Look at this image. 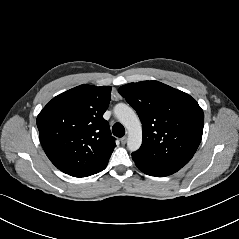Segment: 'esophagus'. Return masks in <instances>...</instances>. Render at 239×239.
Segmentation results:
<instances>
[{
  "label": "esophagus",
  "instance_id": "esophagus-1",
  "mask_svg": "<svg viewBox=\"0 0 239 239\" xmlns=\"http://www.w3.org/2000/svg\"><path fill=\"white\" fill-rule=\"evenodd\" d=\"M120 141H121V143L124 145V144H126V142H127V137L125 136V137H122L121 139H120Z\"/></svg>",
  "mask_w": 239,
  "mask_h": 239
}]
</instances>
